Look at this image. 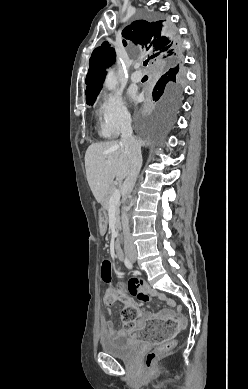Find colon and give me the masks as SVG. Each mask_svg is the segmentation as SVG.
Wrapping results in <instances>:
<instances>
[{
  "mask_svg": "<svg viewBox=\"0 0 248 389\" xmlns=\"http://www.w3.org/2000/svg\"><path fill=\"white\" fill-rule=\"evenodd\" d=\"M102 277L105 282L109 283L111 280V262L104 260L101 267ZM139 284V283H138ZM123 295L127 294L126 290L122 291ZM118 291L114 288H107L104 292V302L110 304L117 300ZM138 317L137 308L131 304L125 306L121 312V319L123 327L129 333V340H140L141 344H161L153 351L149 352L145 357V364L148 370L155 371L157 368V361L160 357L168 354L176 346L175 340H170L163 343V338L171 337L172 333L178 331L183 327V322L177 318H152L149 322H145L144 326H136Z\"/></svg>",
  "mask_w": 248,
  "mask_h": 389,
  "instance_id": "obj_1",
  "label": "colon"
}]
</instances>
